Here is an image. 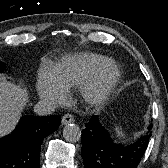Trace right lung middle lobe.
<instances>
[{
  "label": "right lung middle lobe",
  "instance_id": "dd1d6c3e",
  "mask_svg": "<svg viewBox=\"0 0 168 168\" xmlns=\"http://www.w3.org/2000/svg\"><path fill=\"white\" fill-rule=\"evenodd\" d=\"M5 68V64L0 62V72H2Z\"/></svg>",
  "mask_w": 168,
  "mask_h": 168
}]
</instances>
